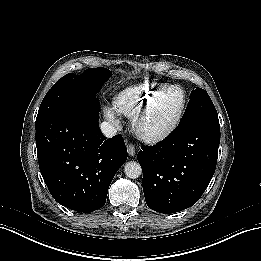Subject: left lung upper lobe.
Here are the masks:
<instances>
[{
    "label": "left lung upper lobe",
    "mask_w": 261,
    "mask_h": 261,
    "mask_svg": "<svg viewBox=\"0 0 261 261\" xmlns=\"http://www.w3.org/2000/svg\"><path fill=\"white\" fill-rule=\"evenodd\" d=\"M198 119L218 120L214 104L207 92L201 88L191 92L190 101L179 125Z\"/></svg>",
    "instance_id": "obj_1"
}]
</instances>
